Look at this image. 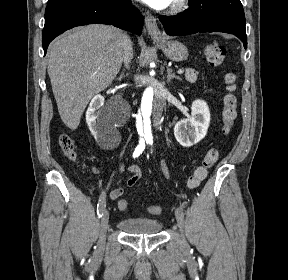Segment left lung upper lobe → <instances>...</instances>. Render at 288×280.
<instances>
[{"label": "left lung upper lobe", "mask_w": 288, "mask_h": 280, "mask_svg": "<svg viewBox=\"0 0 288 280\" xmlns=\"http://www.w3.org/2000/svg\"><path fill=\"white\" fill-rule=\"evenodd\" d=\"M188 5L189 7L207 5L213 9L231 13L245 20L244 10L240 0H190Z\"/></svg>", "instance_id": "left-lung-upper-lobe-1"}]
</instances>
